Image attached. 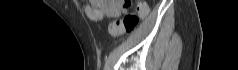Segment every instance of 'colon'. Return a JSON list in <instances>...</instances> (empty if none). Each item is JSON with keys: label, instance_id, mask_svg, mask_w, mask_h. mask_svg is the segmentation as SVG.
<instances>
[{"label": "colon", "instance_id": "5ec220e1", "mask_svg": "<svg viewBox=\"0 0 238 70\" xmlns=\"http://www.w3.org/2000/svg\"><path fill=\"white\" fill-rule=\"evenodd\" d=\"M132 2L127 1V6H131ZM137 11L141 16H145L148 13V7L145 2H138ZM92 16H95L92 13ZM139 17L136 14H128L122 20L114 22L110 25V32L112 35H120L125 32H131L138 24Z\"/></svg>", "mask_w": 238, "mask_h": 70}]
</instances>
